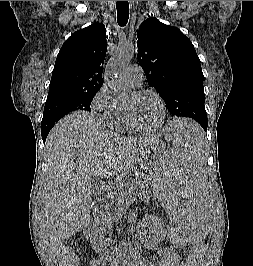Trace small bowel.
Masks as SVG:
<instances>
[{
    "mask_svg": "<svg viewBox=\"0 0 253 266\" xmlns=\"http://www.w3.org/2000/svg\"><path fill=\"white\" fill-rule=\"evenodd\" d=\"M158 256L160 257L159 260L148 261L144 259L140 254L133 252L126 256L124 259L113 261V266H188L183 262L179 252L176 250L160 249L158 250ZM91 266H105V263L94 260L92 261ZM190 266H197V263H194Z\"/></svg>",
    "mask_w": 253,
    "mask_h": 266,
    "instance_id": "1",
    "label": "small bowel"
}]
</instances>
